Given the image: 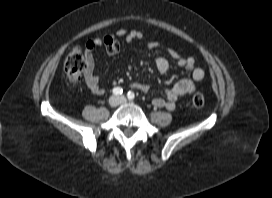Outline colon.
<instances>
[{
	"mask_svg": "<svg viewBox=\"0 0 272 198\" xmlns=\"http://www.w3.org/2000/svg\"><path fill=\"white\" fill-rule=\"evenodd\" d=\"M64 70L71 83L79 84L82 82L86 70V61L81 47L75 46L68 52L64 62ZM192 103L196 108L203 107V95L201 93L194 94Z\"/></svg>",
	"mask_w": 272,
	"mask_h": 198,
	"instance_id": "5ec220e1",
	"label": "colon"
}]
</instances>
